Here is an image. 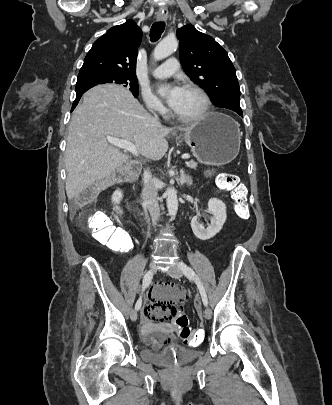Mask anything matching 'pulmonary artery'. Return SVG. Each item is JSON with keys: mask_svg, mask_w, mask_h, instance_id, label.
I'll list each match as a JSON object with an SVG mask.
<instances>
[{"mask_svg": "<svg viewBox=\"0 0 332 405\" xmlns=\"http://www.w3.org/2000/svg\"><path fill=\"white\" fill-rule=\"evenodd\" d=\"M178 68V61L175 58L168 59L162 65L156 67L153 71V75L156 78H165L173 75Z\"/></svg>", "mask_w": 332, "mask_h": 405, "instance_id": "1", "label": "pulmonary artery"}]
</instances>
